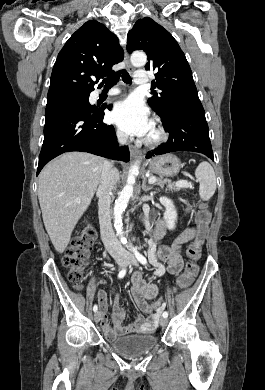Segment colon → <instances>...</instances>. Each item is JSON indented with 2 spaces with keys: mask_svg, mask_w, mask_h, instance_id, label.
Returning a JSON list of instances; mask_svg holds the SVG:
<instances>
[{
  "mask_svg": "<svg viewBox=\"0 0 265 390\" xmlns=\"http://www.w3.org/2000/svg\"><path fill=\"white\" fill-rule=\"evenodd\" d=\"M209 218L210 212L207 206L202 205L196 215L197 225H206ZM96 236V230L92 226L87 227L78 236L73 238L63 257L62 263L67 271L68 280L77 288H81L82 286L84 273L89 262L91 250L96 241ZM203 242L204 238L199 233L189 245L187 253L190 261L187 263L184 272L177 278L176 287L178 289L187 288L196 276L198 272L196 261L200 256ZM165 307L166 303L164 299H158L152 303V308L156 314H159Z\"/></svg>",
  "mask_w": 265,
  "mask_h": 390,
  "instance_id": "1",
  "label": "colon"
}]
</instances>
